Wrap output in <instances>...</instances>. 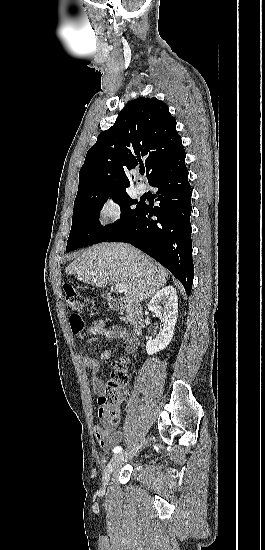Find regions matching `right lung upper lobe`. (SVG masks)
I'll return each mask as SVG.
<instances>
[{
  "mask_svg": "<svg viewBox=\"0 0 265 550\" xmlns=\"http://www.w3.org/2000/svg\"><path fill=\"white\" fill-rule=\"evenodd\" d=\"M176 120L156 98L130 101L115 124L99 134L79 172L76 198L125 192L128 170L145 160L148 182L182 149Z\"/></svg>",
  "mask_w": 265,
  "mask_h": 550,
  "instance_id": "cb5924a9",
  "label": "right lung upper lobe"
}]
</instances>
